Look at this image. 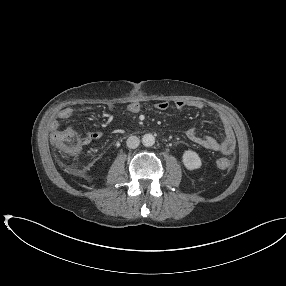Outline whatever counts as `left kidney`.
<instances>
[{"label":"left kidney","mask_w":286,"mask_h":286,"mask_svg":"<svg viewBox=\"0 0 286 286\" xmlns=\"http://www.w3.org/2000/svg\"><path fill=\"white\" fill-rule=\"evenodd\" d=\"M183 164L188 170H195L201 167L202 162L196 152L187 150L183 154Z\"/></svg>","instance_id":"5707ae66"}]
</instances>
